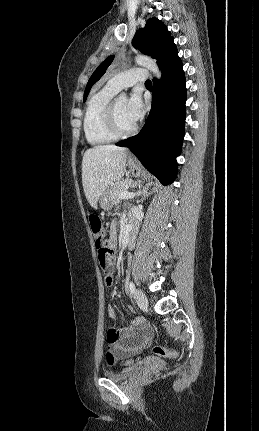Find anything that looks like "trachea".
Instances as JSON below:
<instances>
[{
	"label": "trachea",
	"mask_w": 259,
	"mask_h": 431,
	"mask_svg": "<svg viewBox=\"0 0 259 431\" xmlns=\"http://www.w3.org/2000/svg\"><path fill=\"white\" fill-rule=\"evenodd\" d=\"M145 85H152V82H151L150 80H147V81L145 82Z\"/></svg>",
	"instance_id": "3493384b"
}]
</instances>
